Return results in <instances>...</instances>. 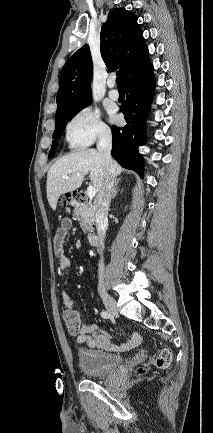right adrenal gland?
<instances>
[{
  "label": "right adrenal gland",
  "mask_w": 213,
  "mask_h": 433,
  "mask_svg": "<svg viewBox=\"0 0 213 433\" xmlns=\"http://www.w3.org/2000/svg\"><path fill=\"white\" fill-rule=\"evenodd\" d=\"M119 182H120V179H118L117 181H116V183H115V186H114V188H113V192H112V199H114L115 197H116V195H117V193H118V184H119Z\"/></svg>",
  "instance_id": "obj_1"
}]
</instances>
